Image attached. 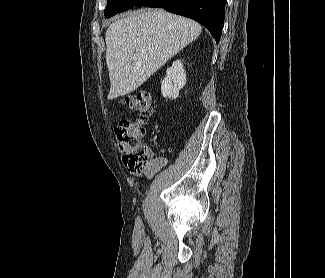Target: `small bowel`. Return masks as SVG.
Here are the masks:
<instances>
[{
	"mask_svg": "<svg viewBox=\"0 0 325 278\" xmlns=\"http://www.w3.org/2000/svg\"><path fill=\"white\" fill-rule=\"evenodd\" d=\"M168 163V159L163 156L152 157L146 167L138 174L142 178H151L154 174Z\"/></svg>",
	"mask_w": 325,
	"mask_h": 278,
	"instance_id": "small-bowel-1",
	"label": "small bowel"
}]
</instances>
